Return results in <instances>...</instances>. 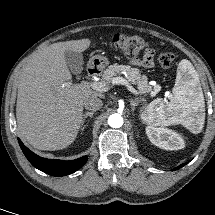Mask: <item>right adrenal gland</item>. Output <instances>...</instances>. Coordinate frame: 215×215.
<instances>
[{
  "instance_id": "1",
  "label": "right adrenal gland",
  "mask_w": 215,
  "mask_h": 215,
  "mask_svg": "<svg viewBox=\"0 0 215 215\" xmlns=\"http://www.w3.org/2000/svg\"><path fill=\"white\" fill-rule=\"evenodd\" d=\"M94 113H95V112L92 111V112H86L85 114H83V117H82V127L84 126L85 119H86L87 117L92 118V116H93ZM82 129H83V128H81V130H82Z\"/></svg>"
}]
</instances>
